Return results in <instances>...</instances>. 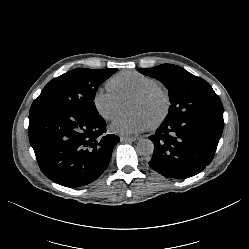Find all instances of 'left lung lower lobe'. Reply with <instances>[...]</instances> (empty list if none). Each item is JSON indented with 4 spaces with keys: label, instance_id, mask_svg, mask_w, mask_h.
Listing matches in <instances>:
<instances>
[{
    "label": "left lung lower lobe",
    "instance_id": "left-lung-lower-lobe-1",
    "mask_svg": "<svg viewBox=\"0 0 249 249\" xmlns=\"http://www.w3.org/2000/svg\"><path fill=\"white\" fill-rule=\"evenodd\" d=\"M223 131V113H204L164 121L149 139V165L168 178L184 179L204 170L214 157Z\"/></svg>",
    "mask_w": 249,
    "mask_h": 249
}]
</instances>
